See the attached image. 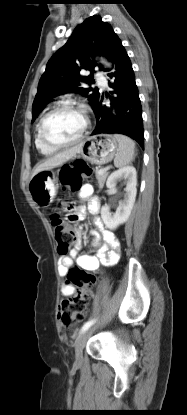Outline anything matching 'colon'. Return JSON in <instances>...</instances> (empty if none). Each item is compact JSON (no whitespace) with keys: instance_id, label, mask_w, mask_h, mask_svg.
Returning a JSON list of instances; mask_svg holds the SVG:
<instances>
[{"instance_id":"5ec220e1","label":"colon","mask_w":187,"mask_h":415,"mask_svg":"<svg viewBox=\"0 0 187 415\" xmlns=\"http://www.w3.org/2000/svg\"><path fill=\"white\" fill-rule=\"evenodd\" d=\"M91 175L92 169L85 164L67 166L60 172L63 184L71 193L78 192L82 187L83 177H90ZM65 204L63 200L61 202L63 208ZM50 220L57 242V251L62 256L66 255L76 240V233L59 214H52ZM67 278L75 286L76 294L63 299L60 303L59 319L66 328L72 327L84 319L92 296V289L100 280L98 274L86 272L79 268L70 270Z\"/></svg>"}]
</instances>
